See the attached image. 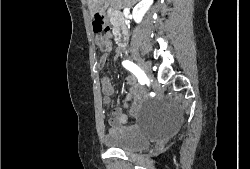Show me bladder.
Here are the masks:
<instances>
[{
    "mask_svg": "<svg viewBox=\"0 0 250 169\" xmlns=\"http://www.w3.org/2000/svg\"><path fill=\"white\" fill-rule=\"evenodd\" d=\"M149 134L141 133H105L103 140L109 149H120L129 152L146 150L151 147L148 142Z\"/></svg>",
    "mask_w": 250,
    "mask_h": 169,
    "instance_id": "1",
    "label": "bladder"
}]
</instances>
